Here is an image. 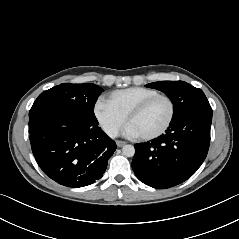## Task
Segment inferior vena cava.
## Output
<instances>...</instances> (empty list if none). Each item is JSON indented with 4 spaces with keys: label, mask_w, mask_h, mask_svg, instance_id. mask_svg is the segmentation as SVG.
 Listing matches in <instances>:
<instances>
[{
    "label": "inferior vena cava",
    "mask_w": 239,
    "mask_h": 239,
    "mask_svg": "<svg viewBox=\"0 0 239 239\" xmlns=\"http://www.w3.org/2000/svg\"><path fill=\"white\" fill-rule=\"evenodd\" d=\"M103 130L110 138H116L119 133L118 128L114 126H105Z\"/></svg>",
    "instance_id": "1"
}]
</instances>
